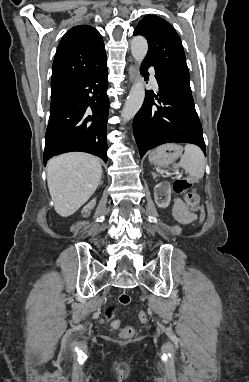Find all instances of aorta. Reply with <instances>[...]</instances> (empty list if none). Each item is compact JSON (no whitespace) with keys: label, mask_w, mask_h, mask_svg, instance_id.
Here are the masks:
<instances>
[{"label":"aorta","mask_w":249,"mask_h":382,"mask_svg":"<svg viewBox=\"0 0 249 382\" xmlns=\"http://www.w3.org/2000/svg\"><path fill=\"white\" fill-rule=\"evenodd\" d=\"M148 51L147 40L142 36H136L131 41V53L133 58L140 64ZM145 98L144 80L140 76L133 84L127 97L125 105L121 111L123 122L131 120L143 104Z\"/></svg>","instance_id":"aorta-1"}]
</instances>
